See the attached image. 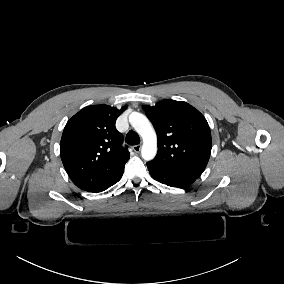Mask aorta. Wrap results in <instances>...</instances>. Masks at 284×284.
<instances>
[{
    "mask_svg": "<svg viewBox=\"0 0 284 284\" xmlns=\"http://www.w3.org/2000/svg\"><path fill=\"white\" fill-rule=\"evenodd\" d=\"M129 121L133 128L143 139L141 155L144 160H152L157 153V136L154 128L146 116L141 113L133 112Z\"/></svg>",
    "mask_w": 284,
    "mask_h": 284,
    "instance_id": "762f6f07",
    "label": "aorta"
}]
</instances>
